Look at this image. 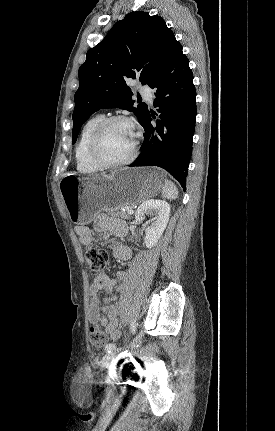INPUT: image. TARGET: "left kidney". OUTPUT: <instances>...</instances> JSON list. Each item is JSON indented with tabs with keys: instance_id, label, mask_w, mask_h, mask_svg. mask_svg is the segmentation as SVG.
I'll use <instances>...</instances> for the list:
<instances>
[{
	"instance_id": "5707ae66",
	"label": "left kidney",
	"mask_w": 275,
	"mask_h": 431,
	"mask_svg": "<svg viewBox=\"0 0 275 431\" xmlns=\"http://www.w3.org/2000/svg\"><path fill=\"white\" fill-rule=\"evenodd\" d=\"M147 214L155 216L145 230V245L147 248H152L167 226L170 216V204L163 200H147L137 209L135 213L136 221L142 222Z\"/></svg>"
}]
</instances>
